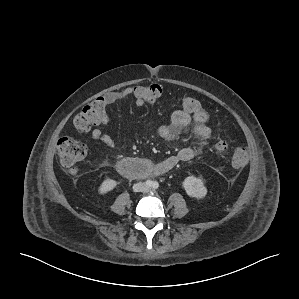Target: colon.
<instances>
[{
  "mask_svg": "<svg viewBox=\"0 0 299 299\" xmlns=\"http://www.w3.org/2000/svg\"><path fill=\"white\" fill-rule=\"evenodd\" d=\"M136 97L142 99L145 103H150L159 98L161 87L157 84H144L134 87ZM181 107L188 113H193L200 109V104L194 97L185 94L181 98ZM106 111L105 103L98 98L86 106L74 117L73 127L79 132L88 131L93 125H96ZM57 150L60 162L71 172L78 170L79 164L87 154V146L72 137H63L59 139ZM214 150L218 155H224L229 151V145L226 141L219 139ZM248 163L246 150L239 148L232 154V164L236 168H243Z\"/></svg>",
  "mask_w": 299,
  "mask_h": 299,
  "instance_id": "5ec220e1",
  "label": "colon"
}]
</instances>
